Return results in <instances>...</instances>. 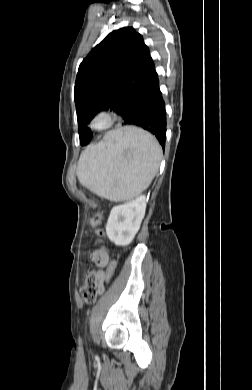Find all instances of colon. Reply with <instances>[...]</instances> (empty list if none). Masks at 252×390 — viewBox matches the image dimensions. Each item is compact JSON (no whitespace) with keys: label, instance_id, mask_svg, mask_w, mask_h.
I'll use <instances>...</instances> for the list:
<instances>
[{"label":"colon","instance_id":"colon-1","mask_svg":"<svg viewBox=\"0 0 252 390\" xmlns=\"http://www.w3.org/2000/svg\"><path fill=\"white\" fill-rule=\"evenodd\" d=\"M102 220L101 214H96L92 221L95 225L100 224ZM97 234H102L100 229L96 230ZM114 264L109 268L110 271L113 270ZM98 295V284L94 272H90L85 280L83 287L81 288V296L85 303H93Z\"/></svg>","mask_w":252,"mask_h":390}]
</instances>
